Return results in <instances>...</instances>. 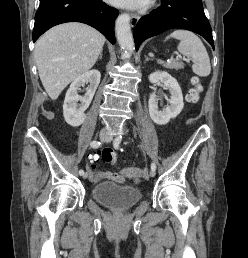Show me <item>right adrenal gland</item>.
<instances>
[{
    "label": "right adrenal gland",
    "mask_w": 248,
    "mask_h": 258,
    "mask_svg": "<svg viewBox=\"0 0 248 258\" xmlns=\"http://www.w3.org/2000/svg\"><path fill=\"white\" fill-rule=\"evenodd\" d=\"M99 59H102V53H100Z\"/></svg>",
    "instance_id": "right-adrenal-gland-1"
}]
</instances>
